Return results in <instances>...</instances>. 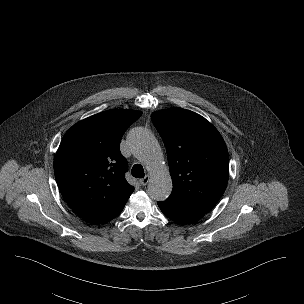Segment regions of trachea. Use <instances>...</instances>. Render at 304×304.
Listing matches in <instances>:
<instances>
[{
  "label": "trachea",
  "mask_w": 304,
  "mask_h": 304,
  "mask_svg": "<svg viewBox=\"0 0 304 304\" xmlns=\"http://www.w3.org/2000/svg\"><path fill=\"white\" fill-rule=\"evenodd\" d=\"M131 173H132V176H134L136 178L144 177V169H143L142 165H140V164H135L132 167Z\"/></svg>",
  "instance_id": "3493384b"
}]
</instances>
